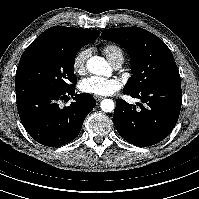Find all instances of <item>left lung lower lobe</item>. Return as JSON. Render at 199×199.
<instances>
[{"mask_svg": "<svg viewBox=\"0 0 199 199\" xmlns=\"http://www.w3.org/2000/svg\"><path fill=\"white\" fill-rule=\"evenodd\" d=\"M141 99V109L121 99L116 101L113 122L118 133L129 143L139 147L152 146L168 136L177 123L181 102V81L149 86L140 92L123 90Z\"/></svg>", "mask_w": 199, "mask_h": 199, "instance_id": "1", "label": "left lung lower lobe"}]
</instances>
